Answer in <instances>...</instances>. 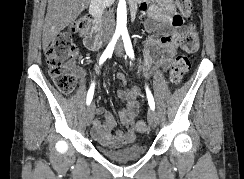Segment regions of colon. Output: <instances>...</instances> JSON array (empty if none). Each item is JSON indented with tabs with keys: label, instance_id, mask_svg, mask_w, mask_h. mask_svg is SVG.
I'll return each mask as SVG.
<instances>
[{
	"label": "colon",
	"instance_id": "5ec220e1",
	"mask_svg": "<svg viewBox=\"0 0 244 179\" xmlns=\"http://www.w3.org/2000/svg\"><path fill=\"white\" fill-rule=\"evenodd\" d=\"M176 8L178 11L177 15H182L189 22L193 11V2L191 0H176ZM88 27L89 22L85 18L74 21L58 33L46 49L45 58L49 66V73L58 89L65 94L71 93L75 87V79L71 74V70L80 54L79 47L71 41L72 35L85 34ZM199 46L200 39L198 33L193 27H189L181 37V52L176 56L169 72V83L172 86L180 84L190 64L187 54L196 52ZM133 125L140 133L148 131V126L143 120H138Z\"/></svg>",
	"mask_w": 244,
	"mask_h": 179
}]
</instances>
